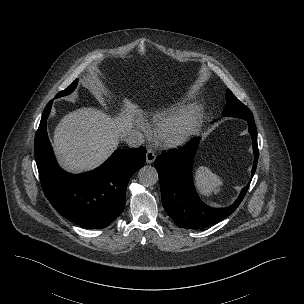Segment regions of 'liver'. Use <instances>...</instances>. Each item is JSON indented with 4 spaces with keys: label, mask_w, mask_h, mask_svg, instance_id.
<instances>
[{
    "label": "liver",
    "mask_w": 304,
    "mask_h": 304,
    "mask_svg": "<svg viewBox=\"0 0 304 304\" xmlns=\"http://www.w3.org/2000/svg\"><path fill=\"white\" fill-rule=\"evenodd\" d=\"M122 102L115 117L97 108L83 107L61 119L54 131L53 147L65 170L79 173L94 169L118 147L132 130L135 116L141 113L129 99Z\"/></svg>",
    "instance_id": "6515ba94"
}]
</instances>
